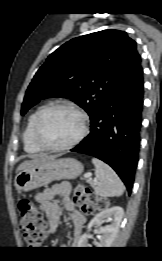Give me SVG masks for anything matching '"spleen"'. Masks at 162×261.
Segmentation results:
<instances>
[{
    "label": "spleen",
    "mask_w": 162,
    "mask_h": 261,
    "mask_svg": "<svg viewBox=\"0 0 162 261\" xmlns=\"http://www.w3.org/2000/svg\"><path fill=\"white\" fill-rule=\"evenodd\" d=\"M95 176L98 180L97 184H94L95 194L101 197H113L121 196L124 192V184L116 174V172L103 161L93 158Z\"/></svg>",
    "instance_id": "obj_1"
}]
</instances>
